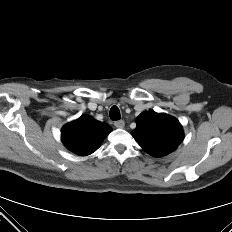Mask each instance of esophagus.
Wrapping results in <instances>:
<instances>
[{"mask_svg":"<svg viewBox=\"0 0 232 232\" xmlns=\"http://www.w3.org/2000/svg\"><path fill=\"white\" fill-rule=\"evenodd\" d=\"M115 127L123 128L125 126V122L123 120H118L114 122Z\"/></svg>","mask_w":232,"mask_h":232,"instance_id":"obj_1","label":"esophagus"}]
</instances>
